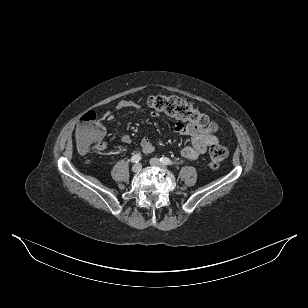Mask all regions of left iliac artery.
Returning a JSON list of instances; mask_svg holds the SVG:
<instances>
[{"label": "left iliac artery", "mask_w": 308, "mask_h": 308, "mask_svg": "<svg viewBox=\"0 0 308 308\" xmlns=\"http://www.w3.org/2000/svg\"><path fill=\"white\" fill-rule=\"evenodd\" d=\"M160 162L163 163L164 165H173L175 164V162H173L171 159L167 158V157H161L160 158ZM178 164V163H176Z\"/></svg>", "instance_id": "left-iliac-artery-1"}]
</instances>
